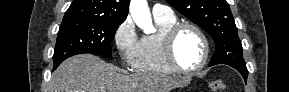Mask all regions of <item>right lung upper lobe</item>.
I'll use <instances>...</instances> for the list:
<instances>
[{"mask_svg":"<svg viewBox=\"0 0 289 92\" xmlns=\"http://www.w3.org/2000/svg\"><path fill=\"white\" fill-rule=\"evenodd\" d=\"M130 0H73L63 21L89 20L124 22Z\"/></svg>","mask_w":289,"mask_h":92,"instance_id":"cb5924a9","label":"right lung upper lobe"}]
</instances>
